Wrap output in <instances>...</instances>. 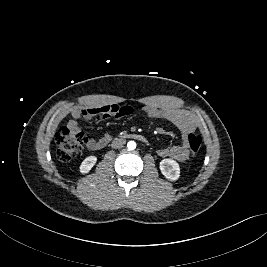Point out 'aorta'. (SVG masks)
I'll list each match as a JSON object with an SVG mask.
<instances>
[{
	"label": "aorta",
	"mask_w": 267,
	"mask_h": 267,
	"mask_svg": "<svg viewBox=\"0 0 267 267\" xmlns=\"http://www.w3.org/2000/svg\"><path fill=\"white\" fill-rule=\"evenodd\" d=\"M127 147L129 150H134L136 148V143L134 141H129Z\"/></svg>",
	"instance_id": "762f6f07"
}]
</instances>
